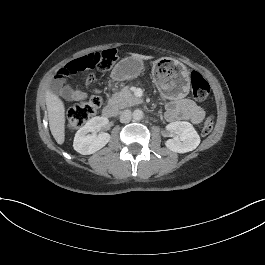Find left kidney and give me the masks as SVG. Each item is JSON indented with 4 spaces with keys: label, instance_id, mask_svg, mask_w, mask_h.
Returning a JSON list of instances; mask_svg holds the SVG:
<instances>
[{
    "label": "left kidney",
    "instance_id": "1",
    "mask_svg": "<svg viewBox=\"0 0 265 265\" xmlns=\"http://www.w3.org/2000/svg\"><path fill=\"white\" fill-rule=\"evenodd\" d=\"M170 133L176 134L164 142L165 147L175 153L193 151L200 144V137L194 127L186 121L174 122L167 126Z\"/></svg>",
    "mask_w": 265,
    "mask_h": 265
}]
</instances>
